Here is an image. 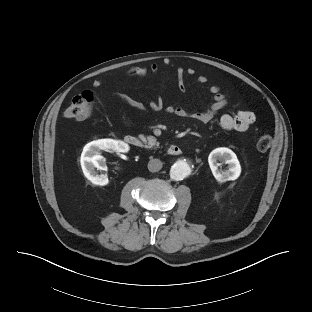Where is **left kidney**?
<instances>
[{
	"mask_svg": "<svg viewBox=\"0 0 312 312\" xmlns=\"http://www.w3.org/2000/svg\"><path fill=\"white\" fill-rule=\"evenodd\" d=\"M217 160L228 164V170L218 169L219 163ZM208 162L211 168V171L217 181L226 182L229 180H235L240 176L241 166L239 160L237 159L236 154L225 147H220L214 149L208 157Z\"/></svg>",
	"mask_w": 312,
	"mask_h": 312,
	"instance_id": "obj_1",
	"label": "left kidney"
}]
</instances>
